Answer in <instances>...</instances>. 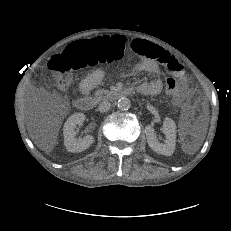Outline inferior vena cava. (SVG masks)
<instances>
[{
	"label": "inferior vena cava",
	"instance_id": "inferior-vena-cava-1",
	"mask_svg": "<svg viewBox=\"0 0 231 231\" xmlns=\"http://www.w3.org/2000/svg\"><path fill=\"white\" fill-rule=\"evenodd\" d=\"M111 107V103L108 101H102L100 102L99 106H98V110L100 112H107Z\"/></svg>",
	"mask_w": 231,
	"mask_h": 231
}]
</instances>
